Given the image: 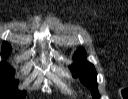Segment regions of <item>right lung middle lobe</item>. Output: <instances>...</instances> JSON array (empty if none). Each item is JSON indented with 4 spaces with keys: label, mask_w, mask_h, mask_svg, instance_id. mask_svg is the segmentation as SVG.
<instances>
[{
    "label": "right lung middle lobe",
    "mask_w": 128,
    "mask_h": 99,
    "mask_svg": "<svg viewBox=\"0 0 128 99\" xmlns=\"http://www.w3.org/2000/svg\"><path fill=\"white\" fill-rule=\"evenodd\" d=\"M14 69L7 63H0V99H23L25 91L17 92V81L12 79Z\"/></svg>",
    "instance_id": "right-lung-middle-lobe-1"
}]
</instances>
